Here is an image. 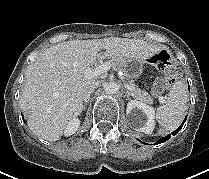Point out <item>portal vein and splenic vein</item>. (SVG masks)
I'll return each instance as SVG.
<instances>
[{"mask_svg":"<svg viewBox=\"0 0 209 179\" xmlns=\"http://www.w3.org/2000/svg\"><path fill=\"white\" fill-rule=\"evenodd\" d=\"M111 68V62H105V63H102L100 65H98L97 67H95L94 69L92 68H87L85 71H84V77L85 78H93V77H96V76H99L105 72H107L109 69ZM126 88L128 90H131V87L129 85H126ZM160 102L164 103L165 100L163 97H160L159 98Z\"/></svg>","mask_w":209,"mask_h":179,"instance_id":"1","label":"portal vein and splenic vein"}]
</instances>
